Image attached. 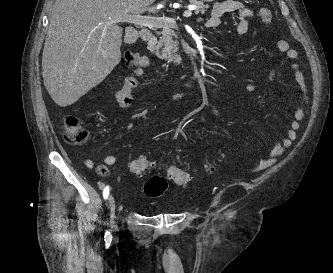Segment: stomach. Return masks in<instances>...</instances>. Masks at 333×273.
I'll use <instances>...</instances> for the list:
<instances>
[{
	"mask_svg": "<svg viewBox=\"0 0 333 273\" xmlns=\"http://www.w3.org/2000/svg\"><path fill=\"white\" fill-rule=\"evenodd\" d=\"M203 2H213L214 0H202Z\"/></svg>",
	"mask_w": 333,
	"mask_h": 273,
	"instance_id": "1",
	"label": "stomach"
}]
</instances>
